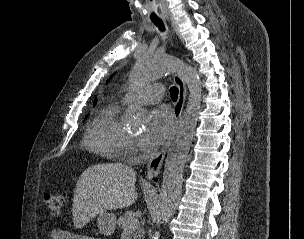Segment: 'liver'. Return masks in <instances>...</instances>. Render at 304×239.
<instances>
[{
    "label": "liver",
    "instance_id": "1",
    "mask_svg": "<svg viewBox=\"0 0 304 239\" xmlns=\"http://www.w3.org/2000/svg\"><path fill=\"white\" fill-rule=\"evenodd\" d=\"M134 170L121 163L88 167L79 177L73 198V223L83 228L98 214L122 209L138 198Z\"/></svg>",
    "mask_w": 304,
    "mask_h": 239
}]
</instances>
